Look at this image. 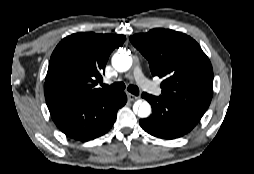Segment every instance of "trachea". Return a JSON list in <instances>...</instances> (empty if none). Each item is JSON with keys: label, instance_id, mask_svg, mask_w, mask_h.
<instances>
[{"label": "trachea", "instance_id": "obj_1", "mask_svg": "<svg viewBox=\"0 0 254 174\" xmlns=\"http://www.w3.org/2000/svg\"><path fill=\"white\" fill-rule=\"evenodd\" d=\"M102 86H103V88L109 90L110 92H119V91H122V90L125 89V84L122 83V82H117V83H114L110 86L106 85V84H103ZM127 90L129 92H131L132 94H134V95L139 94V88L135 85L128 86Z\"/></svg>", "mask_w": 254, "mask_h": 174}]
</instances>
